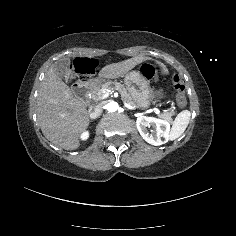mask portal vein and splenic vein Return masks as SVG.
<instances>
[{"instance_id": "18ae733b", "label": "portal vein and splenic vein", "mask_w": 236, "mask_h": 236, "mask_svg": "<svg viewBox=\"0 0 236 236\" xmlns=\"http://www.w3.org/2000/svg\"><path fill=\"white\" fill-rule=\"evenodd\" d=\"M110 90H106V92L105 93H108ZM124 108L125 109H130V110H134V106L133 105H128V104H125L124 105ZM151 110L153 111V112H155V113H159V110H158V108H156V107H152L151 108Z\"/></svg>"}]
</instances>
